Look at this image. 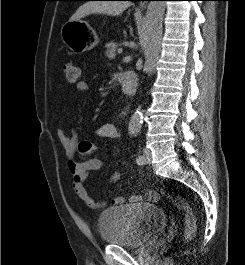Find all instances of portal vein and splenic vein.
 I'll list each match as a JSON object with an SVG mask.
<instances>
[{
	"label": "portal vein and splenic vein",
	"mask_w": 245,
	"mask_h": 265,
	"mask_svg": "<svg viewBox=\"0 0 245 265\" xmlns=\"http://www.w3.org/2000/svg\"><path fill=\"white\" fill-rule=\"evenodd\" d=\"M123 52L122 48L118 49V54H121Z\"/></svg>",
	"instance_id": "portal-vein-and-splenic-vein-1"
}]
</instances>
